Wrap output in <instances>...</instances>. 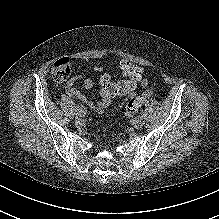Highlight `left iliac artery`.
I'll use <instances>...</instances> for the list:
<instances>
[{"instance_id":"left-iliac-artery-1","label":"left iliac artery","mask_w":219,"mask_h":219,"mask_svg":"<svg viewBox=\"0 0 219 219\" xmlns=\"http://www.w3.org/2000/svg\"><path fill=\"white\" fill-rule=\"evenodd\" d=\"M138 119H141V120H142V119H143V116H139Z\"/></svg>"}]
</instances>
